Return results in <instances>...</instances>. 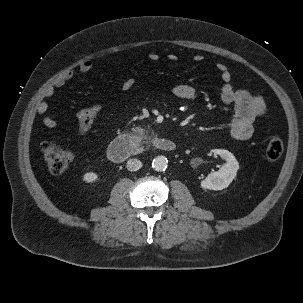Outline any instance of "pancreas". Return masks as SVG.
<instances>
[{
  "label": "pancreas",
  "mask_w": 303,
  "mask_h": 303,
  "mask_svg": "<svg viewBox=\"0 0 303 303\" xmlns=\"http://www.w3.org/2000/svg\"><path fill=\"white\" fill-rule=\"evenodd\" d=\"M134 133H137L139 135V138L142 139H148V136L146 135L144 129H142L141 127H137L134 130Z\"/></svg>",
  "instance_id": "1"
}]
</instances>
